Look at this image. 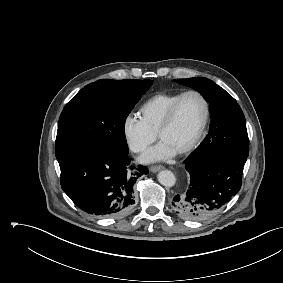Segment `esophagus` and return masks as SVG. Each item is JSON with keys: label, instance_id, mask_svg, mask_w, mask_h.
<instances>
[{"label": "esophagus", "instance_id": "1", "mask_svg": "<svg viewBox=\"0 0 283 283\" xmlns=\"http://www.w3.org/2000/svg\"><path fill=\"white\" fill-rule=\"evenodd\" d=\"M162 169H164V166H162V165H154V166L150 167V171L153 172V173H156V172H158Z\"/></svg>", "mask_w": 283, "mask_h": 283}]
</instances>
